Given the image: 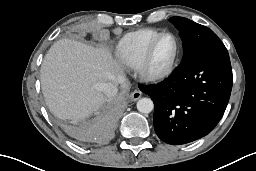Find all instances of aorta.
Returning a JSON list of instances; mask_svg holds the SVG:
<instances>
[{"instance_id": "obj_1", "label": "aorta", "mask_w": 256, "mask_h": 171, "mask_svg": "<svg viewBox=\"0 0 256 171\" xmlns=\"http://www.w3.org/2000/svg\"><path fill=\"white\" fill-rule=\"evenodd\" d=\"M137 109L140 113L148 114L154 109L153 101L150 98H141L137 102Z\"/></svg>"}]
</instances>
